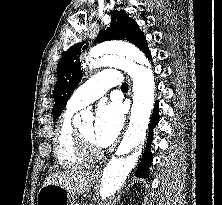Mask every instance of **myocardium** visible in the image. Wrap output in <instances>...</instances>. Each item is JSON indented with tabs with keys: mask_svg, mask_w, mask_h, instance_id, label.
Masks as SVG:
<instances>
[{
	"mask_svg": "<svg viewBox=\"0 0 222 205\" xmlns=\"http://www.w3.org/2000/svg\"><path fill=\"white\" fill-rule=\"evenodd\" d=\"M77 150L85 161H94L102 156V150L91 144L81 133L79 129L74 131Z\"/></svg>",
	"mask_w": 222,
	"mask_h": 205,
	"instance_id": "1",
	"label": "myocardium"
}]
</instances>
